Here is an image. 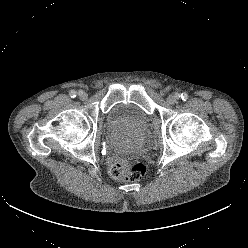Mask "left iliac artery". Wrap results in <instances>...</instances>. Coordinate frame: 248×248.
<instances>
[{"instance_id":"left-iliac-artery-1","label":"left iliac artery","mask_w":248,"mask_h":248,"mask_svg":"<svg viewBox=\"0 0 248 248\" xmlns=\"http://www.w3.org/2000/svg\"><path fill=\"white\" fill-rule=\"evenodd\" d=\"M181 99L183 100V101H186L187 99H188V94L187 93H182L181 94Z\"/></svg>"}]
</instances>
